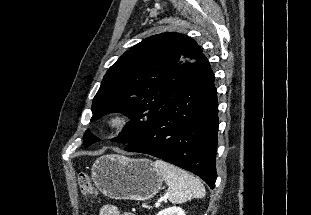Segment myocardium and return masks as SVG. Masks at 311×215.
<instances>
[{
	"instance_id": "obj_1",
	"label": "myocardium",
	"mask_w": 311,
	"mask_h": 215,
	"mask_svg": "<svg viewBox=\"0 0 311 215\" xmlns=\"http://www.w3.org/2000/svg\"><path fill=\"white\" fill-rule=\"evenodd\" d=\"M130 122V118L127 114L122 112H113L110 113L106 120V128L113 132H120L124 130Z\"/></svg>"
}]
</instances>
